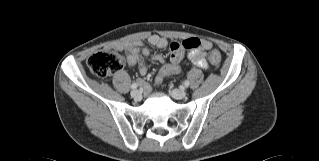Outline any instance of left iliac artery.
<instances>
[{
  "mask_svg": "<svg viewBox=\"0 0 319 161\" xmlns=\"http://www.w3.org/2000/svg\"><path fill=\"white\" fill-rule=\"evenodd\" d=\"M189 84H190V83H189L188 80H186V81L183 83L184 87H186V88L189 86Z\"/></svg>",
  "mask_w": 319,
  "mask_h": 161,
  "instance_id": "obj_1",
  "label": "left iliac artery"
}]
</instances>
